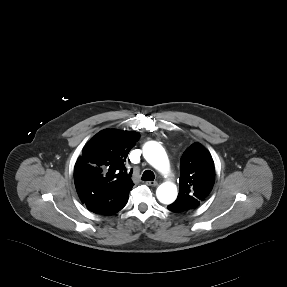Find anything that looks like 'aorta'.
Wrapping results in <instances>:
<instances>
[{
    "mask_svg": "<svg viewBox=\"0 0 287 287\" xmlns=\"http://www.w3.org/2000/svg\"><path fill=\"white\" fill-rule=\"evenodd\" d=\"M146 161L162 174L170 170V163L166 151L156 141H149L143 147ZM177 187L172 182L162 183L156 190L157 199L163 204H171L177 198Z\"/></svg>",
    "mask_w": 287,
    "mask_h": 287,
    "instance_id": "obj_1",
    "label": "aorta"
}]
</instances>
